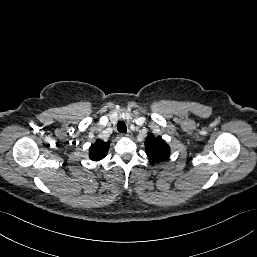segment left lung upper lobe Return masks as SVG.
<instances>
[{
  "label": "left lung upper lobe",
  "mask_w": 257,
  "mask_h": 257,
  "mask_svg": "<svg viewBox=\"0 0 257 257\" xmlns=\"http://www.w3.org/2000/svg\"><path fill=\"white\" fill-rule=\"evenodd\" d=\"M145 149L147 156L155 162H161L170 155L169 145L161 137H154L152 134L145 141Z\"/></svg>",
  "instance_id": "1"
}]
</instances>
